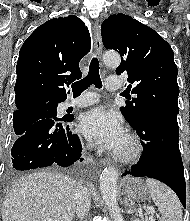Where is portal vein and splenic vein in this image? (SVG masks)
I'll use <instances>...</instances> for the list:
<instances>
[{"label":"portal vein and splenic vein","mask_w":190,"mask_h":221,"mask_svg":"<svg viewBox=\"0 0 190 221\" xmlns=\"http://www.w3.org/2000/svg\"><path fill=\"white\" fill-rule=\"evenodd\" d=\"M149 209V211L152 213V212H154V208L153 207H149L148 208ZM139 212L140 213H142V209L141 208H139ZM149 221H155L152 217L149 219Z\"/></svg>","instance_id":"18ae733b"}]
</instances>
